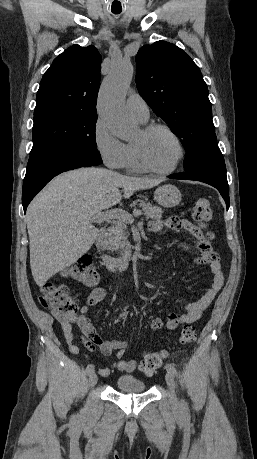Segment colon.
<instances>
[{"instance_id": "1", "label": "colon", "mask_w": 257, "mask_h": 459, "mask_svg": "<svg viewBox=\"0 0 257 459\" xmlns=\"http://www.w3.org/2000/svg\"><path fill=\"white\" fill-rule=\"evenodd\" d=\"M193 217L200 227L206 231L208 238H213V233L208 229V223L212 218L210 201L200 198L196 201L193 209ZM66 274L73 280L84 284L94 285L98 281V274L91 259L80 258L76 263L66 270ZM39 303L49 308L53 315L60 320H72L78 310L77 303L69 295V288L65 284L46 283L41 286L38 297ZM196 339V329L194 326L187 325L180 333L179 341L181 344H190ZM165 358L161 352H153L146 355L140 363V369L146 375L153 374L158 370Z\"/></svg>"}]
</instances>
